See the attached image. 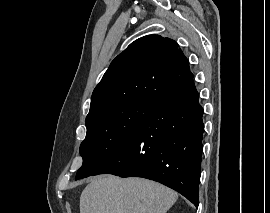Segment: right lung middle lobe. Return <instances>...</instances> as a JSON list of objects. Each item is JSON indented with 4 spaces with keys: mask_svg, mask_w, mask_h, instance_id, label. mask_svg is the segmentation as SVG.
<instances>
[{
    "mask_svg": "<svg viewBox=\"0 0 270 213\" xmlns=\"http://www.w3.org/2000/svg\"><path fill=\"white\" fill-rule=\"evenodd\" d=\"M157 103L135 100L86 120L87 135L80 146L83 165L75 179L93 175L136 132Z\"/></svg>",
    "mask_w": 270,
    "mask_h": 213,
    "instance_id": "dd1d6c3e",
    "label": "right lung middle lobe"
}]
</instances>
